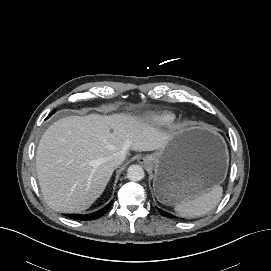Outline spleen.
I'll list each match as a JSON object with an SVG mask.
<instances>
[{"instance_id": "spleen-1", "label": "spleen", "mask_w": 271, "mask_h": 271, "mask_svg": "<svg viewBox=\"0 0 271 271\" xmlns=\"http://www.w3.org/2000/svg\"><path fill=\"white\" fill-rule=\"evenodd\" d=\"M223 188L215 185L210 191L205 192L191 200L177 202L175 211L183 217H199L214 209L221 200Z\"/></svg>"}]
</instances>
